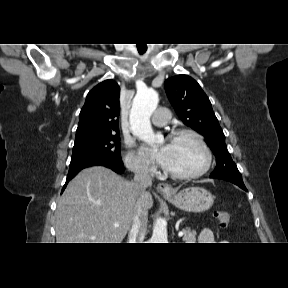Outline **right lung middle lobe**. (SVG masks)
I'll list each match as a JSON object with an SVG mask.
<instances>
[{
	"mask_svg": "<svg viewBox=\"0 0 288 288\" xmlns=\"http://www.w3.org/2000/svg\"><path fill=\"white\" fill-rule=\"evenodd\" d=\"M90 158H104L116 164H123L120 155L119 133L76 141L70 164Z\"/></svg>",
	"mask_w": 288,
	"mask_h": 288,
	"instance_id": "right-lung-middle-lobe-1",
	"label": "right lung middle lobe"
}]
</instances>
